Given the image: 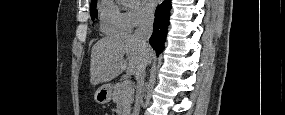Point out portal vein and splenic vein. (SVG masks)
I'll return each mask as SVG.
<instances>
[{
    "label": "portal vein and splenic vein",
    "instance_id": "obj_1",
    "mask_svg": "<svg viewBox=\"0 0 285 115\" xmlns=\"http://www.w3.org/2000/svg\"><path fill=\"white\" fill-rule=\"evenodd\" d=\"M123 84L125 86H128V85H131V82L128 79H126V80H124Z\"/></svg>",
    "mask_w": 285,
    "mask_h": 115
}]
</instances>
